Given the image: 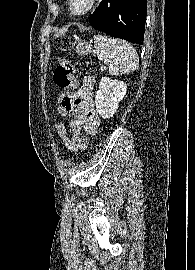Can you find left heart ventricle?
Listing matches in <instances>:
<instances>
[{
  "mask_svg": "<svg viewBox=\"0 0 195 270\" xmlns=\"http://www.w3.org/2000/svg\"><path fill=\"white\" fill-rule=\"evenodd\" d=\"M90 0H73L72 7L75 11H83L88 5Z\"/></svg>",
  "mask_w": 195,
  "mask_h": 270,
  "instance_id": "obj_1",
  "label": "left heart ventricle"
}]
</instances>
